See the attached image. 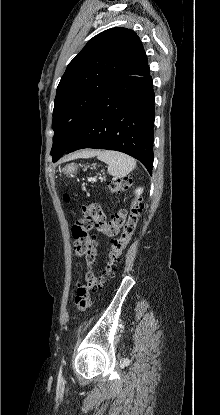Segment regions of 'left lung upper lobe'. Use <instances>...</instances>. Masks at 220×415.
I'll return each instance as SVG.
<instances>
[{
  "label": "left lung upper lobe",
  "mask_w": 220,
  "mask_h": 415,
  "mask_svg": "<svg viewBox=\"0 0 220 415\" xmlns=\"http://www.w3.org/2000/svg\"><path fill=\"white\" fill-rule=\"evenodd\" d=\"M147 65L142 42L134 31L111 28L93 37L69 63L57 87L51 155L67 151L116 79L138 73Z\"/></svg>",
  "instance_id": "obj_1"
}]
</instances>
